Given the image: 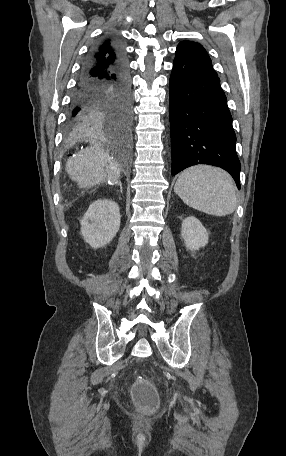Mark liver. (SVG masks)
I'll return each mask as SVG.
<instances>
[{"mask_svg":"<svg viewBox=\"0 0 286 456\" xmlns=\"http://www.w3.org/2000/svg\"><path fill=\"white\" fill-rule=\"evenodd\" d=\"M66 171L80 188H91L100 185L106 179L118 183L121 168L111 161L107 151L99 144H95L80 152L77 157L68 159Z\"/></svg>","mask_w":286,"mask_h":456,"instance_id":"1","label":"liver"}]
</instances>
